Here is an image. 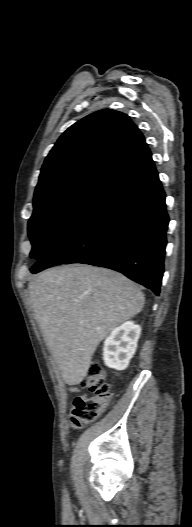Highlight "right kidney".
I'll list each match as a JSON object with an SVG mask.
<instances>
[{
  "mask_svg": "<svg viewBox=\"0 0 192 527\" xmlns=\"http://www.w3.org/2000/svg\"><path fill=\"white\" fill-rule=\"evenodd\" d=\"M140 333L141 327L131 321L115 328L104 342V363L116 370L126 369L136 351Z\"/></svg>",
  "mask_w": 192,
  "mask_h": 527,
  "instance_id": "1",
  "label": "right kidney"
}]
</instances>
